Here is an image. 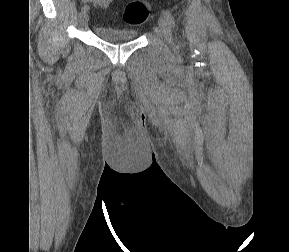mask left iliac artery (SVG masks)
I'll return each mask as SVG.
<instances>
[{
  "label": "left iliac artery",
  "instance_id": "left-iliac-artery-1",
  "mask_svg": "<svg viewBox=\"0 0 289 252\" xmlns=\"http://www.w3.org/2000/svg\"><path fill=\"white\" fill-rule=\"evenodd\" d=\"M162 14L164 15V17L167 19V21L169 22V25L172 27V28H175L176 27V23H175V19L172 15V13L168 10H163L162 11Z\"/></svg>",
  "mask_w": 289,
  "mask_h": 252
}]
</instances>
